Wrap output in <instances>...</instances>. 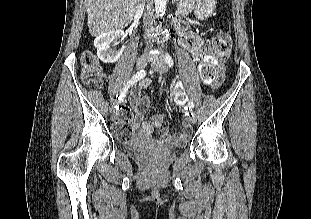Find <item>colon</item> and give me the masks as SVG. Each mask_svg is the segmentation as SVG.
I'll use <instances>...</instances> for the list:
<instances>
[{"instance_id": "1", "label": "colon", "mask_w": 311, "mask_h": 219, "mask_svg": "<svg viewBox=\"0 0 311 219\" xmlns=\"http://www.w3.org/2000/svg\"><path fill=\"white\" fill-rule=\"evenodd\" d=\"M232 48V39L228 33H218L212 39L205 43V57L200 66V76L205 83L212 81L217 75L223 79V67L221 64L225 62ZM82 77L87 84L100 85L105 80L97 58L90 51H85L81 58ZM120 135V134H119ZM122 140H129V135L122 136Z\"/></svg>"}]
</instances>
